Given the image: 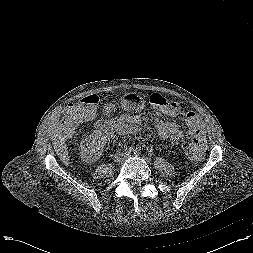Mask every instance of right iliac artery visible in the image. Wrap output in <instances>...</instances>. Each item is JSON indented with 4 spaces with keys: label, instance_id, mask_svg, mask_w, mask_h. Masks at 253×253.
Instances as JSON below:
<instances>
[{
    "label": "right iliac artery",
    "instance_id": "right-iliac-artery-1",
    "mask_svg": "<svg viewBox=\"0 0 253 253\" xmlns=\"http://www.w3.org/2000/svg\"><path fill=\"white\" fill-rule=\"evenodd\" d=\"M130 153H131V149L126 148L125 151H124V154L129 155Z\"/></svg>",
    "mask_w": 253,
    "mask_h": 253
}]
</instances>
